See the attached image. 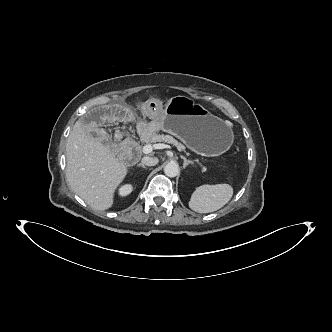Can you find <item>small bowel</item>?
I'll list each match as a JSON object with an SVG mask.
<instances>
[{"mask_svg": "<svg viewBox=\"0 0 332 332\" xmlns=\"http://www.w3.org/2000/svg\"><path fill=\"white\" fill-rule=\"evenodd\" d=\"M163 102L158 99H148L141 103V110L149 119L158 118L163 109ZM130 120L129 111L123 106H117L114 103H107L100 107L99 110L90 111L82 119V126L86 130H93L97 125L104 122L115 127H123ZM140 135L147 137L146 125L139 126Z\"/></svg>", "mask_w": 332, "mask_h": 332, "instance_id": "small-bowel-1", "label": "small bowel"}]
</instances>
